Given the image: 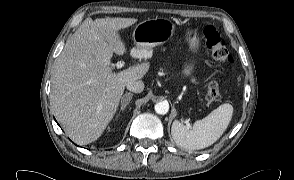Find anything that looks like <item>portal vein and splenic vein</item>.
Listing matches in <instances>:
<instances>
[{"label":"portal vein and splenic vein","instance_id":"obj_1","mask_svg":"<svg viewBox=\"0 0 294 180\" xmlns=\"http://www.w3.org/2000/svg\"><path fill=\"white\" fill-rule=\"evenodd\" d=\"M124 61H118L117 63H116V67H117V69H121L122 67H124Z\"/></svg>","mask_w":294,"mask_h":180}]
</instances>
